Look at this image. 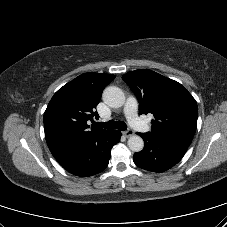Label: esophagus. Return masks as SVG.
Segmentation results:
<instances>
[{
	"mask_svg": "<svg viewBox=\"0 0 227 227\" xmlns=\"http://www.w3.org/2000/svg\"><path fill=\"white\" fill-rule=\"evenodd\" d=\"M123 134L126 137H131L134 135V131L132 129H128V130L124 131Z\"/></svg>",
	"mask_w": 227,
	"mask_h": 227,
	"instance_id": "34e87169",
	"label": "esophagus"
}]
</instances>
